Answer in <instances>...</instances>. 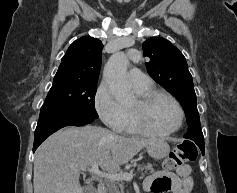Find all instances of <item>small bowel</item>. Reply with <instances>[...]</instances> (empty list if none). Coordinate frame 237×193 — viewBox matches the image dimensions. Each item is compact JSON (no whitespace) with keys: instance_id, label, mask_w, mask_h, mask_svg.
I'll use <instances>...</instances> for the list:
<instances>
[{"instance_id":"small-bowel-1","label":"small bowel","mask_w":237,"mask_h":193,"mask_svg":"<svg viewBox=\"0 0 237 193\" xmlns=\"http://www.w3.org/2000/svg\"><path fill=\"white\" fill-rule=\"evenodd\" d=\"M144 189L150 193H192L194 189L192 166L183 165L175 172L157 171L145 179Z\"/></svg>"}]
</instances>
